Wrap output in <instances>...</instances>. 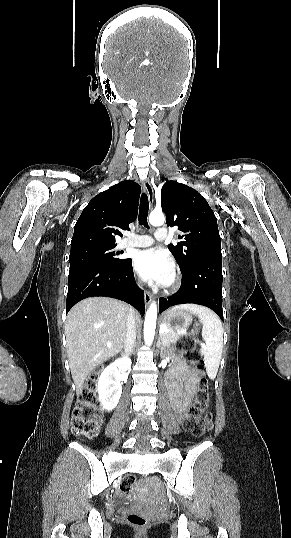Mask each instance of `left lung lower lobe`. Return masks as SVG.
<instances>
[{
  "mask_svg": "<svg viewBox=\"0 0 291 538\" xmlns=\"http://www.w3.org/2000/svg\"><path fill=\"white\" fill-rule=\"evenodd\" d=\"M181 272L182 286L172 296L159 299V312L174 305L193 303L212 309L223 320L222 258L195 261Z\"/></svg>",
  "mask_w": 291,
  "mask_h": 538,
  "instance_id": "1",
  "label": "left lung lower lobe"
}]
</instances>
